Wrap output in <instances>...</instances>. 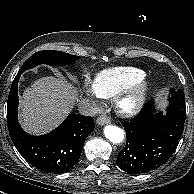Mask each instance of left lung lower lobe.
Instances as JSON below:
<instances>
[{
    "mask_svg": "<svg viewBox=\"0 0 194 194\" xmlns=\"http://www.w3.org/2000/svg\"><path fill=\"white\" fill-rule=\"evenodd\" d=\"M167 114L156 113L153 100L140 113L122 122L127 143L117 156V165L131 174L145 173L163 165L176 150L186 118L183 90L170 91Z\"/></svg>",
    "mask_w": 194,
    "mask_h": 194,
    "instance_id": "0a47b994",
    "label": "left lung lower lobe"
}]
</instances>
